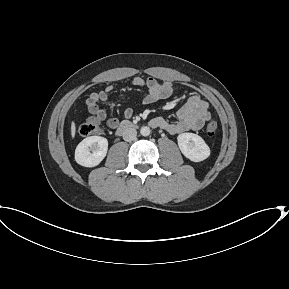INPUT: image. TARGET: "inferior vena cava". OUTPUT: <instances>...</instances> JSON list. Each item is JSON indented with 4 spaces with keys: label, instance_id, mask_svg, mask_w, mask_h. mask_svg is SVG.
<instances>
[{
    "label": "inferior vena cava",
    "instance_id": "602c4592",
    "mask_svg": "<svg viewBox=\"0 0 289 289\" xmlns=\"http://www.w3.org/2000/svg\"><path fill=\"white\" fill-rule=\"evenodd\" d=\"M123 139L127 142H131L136 139L137 131L134 128H127L122 133Z\"/></svg>",
    "mask_w": 289,
    "mask_h": 289
}]
</instances>
